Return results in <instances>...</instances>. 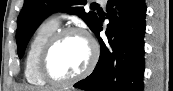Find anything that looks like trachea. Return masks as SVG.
<instances>
[{"label":"trachea","instance_id":"3493384b","mask_svg":"<svg viewBox=\"0 0 173 91\" xmlns=\"http://www.w3.org/2000/svg\"><path fill=\"white\" fill-rule=\"evenodd\" d=\"M91 7H99V5L97 3H92Z\"/></svg>","mask_w":173,"mask_h":91}]
</instances>
